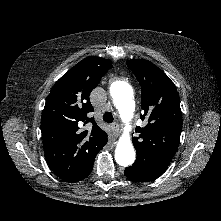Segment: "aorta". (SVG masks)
<instances>
[{"label":"aorta","instance_id":"obj_1","mask_svg":"<svg viewBox=\"0 0 221 221\" xmlns=\"http://www.w3.org/2000/svg\"><path fill=\"white\" fill-rule=\"evenodd\" d=\"M110 94L122 118L129 117L134 107V93L131 85L124 81H115L110 86ZM115 160L117 164L124 167L134 163L135 150L128 135L122 136L117 143Z\"/></svg>","mask_w":221,"mask_h":221}]
</instances>
